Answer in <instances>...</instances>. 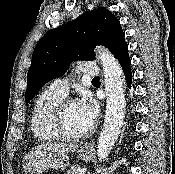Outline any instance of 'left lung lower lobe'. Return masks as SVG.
<instances>
[{
    "label": "left lung lower lobe",
    "instance_id": "left-lung-lower-lobe-1",
    "mask_svg": "<svg viewBox=\"0 0 175 174\" xmlns=\"http://www.w3.org/2000/svg\"><path fill=\"white\" fill-rule=\"evenodd\" d=\"M119 61V63L122 66V69L124 71L126 80H127V84L129 85V87L131 86L132 83V73H131V61H130V57L128 55V45H126L121 51L120 53L117 55L116 57Z\"/></svg>",
    "mask_w": 175,
    "mask_h": 174
}]
</instances>
